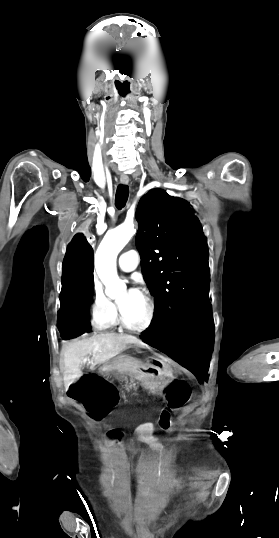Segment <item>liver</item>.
Wrapping results in <instances>:
<instances>
[{
  "mask_svg": "<svg viewBox=\"0 0 279 538\" xmlns=\"http://www.w3.org/2000/svg\"><path fill=\"white\" fill-rule=\"evenodd\" d=\"M128 344H136L140 348L145 346L134 336H123V334H97L80 342H64L61 350L63 358L61 368L64 372L65 388L83 376L81 364L85 356H92L90 370H95L97 364H104L127 350Z\"/></svg>",
  "mask_w": 279,
  "mask_h": 538,
  "instance_id": "1",
  "label": "liver"
}]
</instances>
